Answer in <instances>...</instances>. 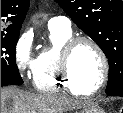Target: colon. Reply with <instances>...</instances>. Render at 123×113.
<instances>
[{
    "mask_svg": "<svg viewBox=\"0 0 123 113\" xmlns=\"http://www.w3.org/2000/svg\"><path fill=\"white\" fill-rule=\"evenodd\" d=\"M120 113H123V107L120 109Z\"/></svg>",
    "mask_w": 123,
    "mask_h": 113,
    "instance_id": "1",
    "label": "colon"
}]
</instances>
